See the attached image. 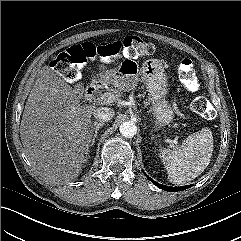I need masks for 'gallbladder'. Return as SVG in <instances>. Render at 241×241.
Wrapping results in <instances>:
<instances>
[{
    "instance_id": "obj_1",
    "label": "gallbladder",
    "mask_w": 241,
    "mask_h": 241,
    "mask_svg": "<svg viewBox=\"0 0 241 241\" xmlns=\"http://www.w3.org/2000/svg\"><path fill=\"white\" fill-rule=\"evenodd\" d=\"M76 88L79 90V92H82L84 89L82 85H77Z\"/></svg>"
}]
</instances>
